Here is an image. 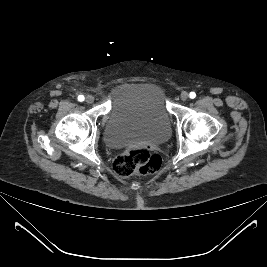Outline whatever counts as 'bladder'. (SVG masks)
<instances>
[{
	"instance_id": "31cf9c89",
	"label": "bladder",
	"mask_w": 267,
	"mask_h": 267,
	"mask_svg": "<svg viewBox=\"0 0 267 267\" xmlns=\"http://www.w3.org/2000/svg\"><path fill=\"white\" fill-rule=\"evenodd\" d=\"M171 132L164 90L151 82H127L113 92L103 139L110 147L135 142L161 143Z\"/></svg>"
}]
</instances>
